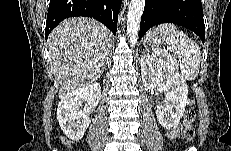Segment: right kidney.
I'll return each mask as SVG.
<instances>
[{
	"mask_svg": "<svg viewBox=\"0 0 231 151\" xmlns=\"http://www.w3.org/2000/svg\"><path fill=\"white\" fill-rule=\"evenodd\" d=\"M100 97L101 87L95 82L78 88L61 99L57 108V119L69 139H82L91 122L89 114L97 106ZM83 101L86 102V106L80 110Z\"/></svg>",
	"mask_w": 231,
	"mask_h": 151,
	"instance_id": "1",
	"label": "right kidney"
}]
</instances>
